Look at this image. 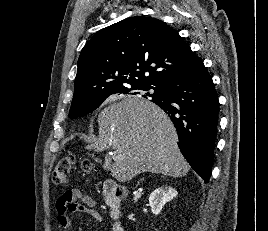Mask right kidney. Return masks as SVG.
Returning <instances> with one entry per match:
<instances>
[{
  "label": "right kidney",
  "instance_id": "ca27d5eb",
  "mask_svg": "<svg viewBox=\"0 0 268 231\" xmlns=\"http://www.w3.org/2000/svg\"><path fill=\"white\" fill-rule=\"evenodd\" d=\"M177 191L170 186L155 189L149 196V205L153 214L158 215L164 205L177 196Z\"/></svg>",
  "mask_w": 268,
  "mask_h": 231
}]
</instances>
